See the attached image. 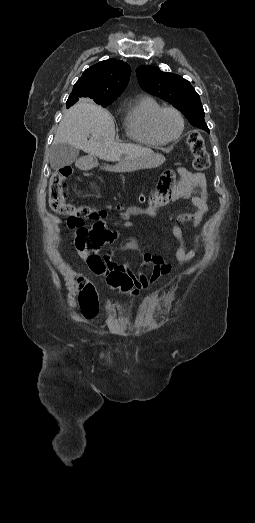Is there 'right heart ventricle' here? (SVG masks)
<instances>
[{"mask_svg": "<svg viewBox=\"0 0 255 523\" xmlns=\"http://www.w3.org/2000/svg\"><path fill=\"white\" fill-rule=\"evenodd\" d=\"M160 107L162 104L153 95H144L130 106L123 122L129 140L150 146L163 144L151 129V119Z\"/></svg>", "mask_w": 255, "mask_h": 523, "instance_id": "1", "label": "right heart ventricle"}]
</instances>
